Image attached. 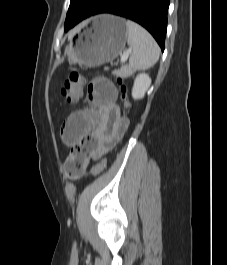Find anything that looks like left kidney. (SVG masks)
Instances as JSON below:
<instances>
[{"mask_svg":"<svg viewBox=\"0 0 227 265\" xmlns=\"http://www.w3.org/2000/svg\"><path fill=\"white\" fill-rule=\"evenodd\" d=\"M151 85V78L146 73H140L137 75L134 81L132 89V97L134 99H142L145 95V92Z\"/></svg>","mask_w":227,"mask_h":265,"instance_id":"5707ae66","label":"left kidney"}]
</instances>
